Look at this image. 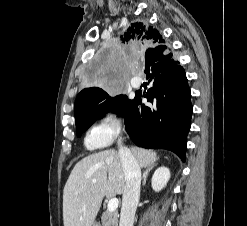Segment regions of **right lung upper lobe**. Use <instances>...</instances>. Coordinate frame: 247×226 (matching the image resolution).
Instances as JSON below:
<instances>
[{"label": "right lung upper lobe", "instance_id": "cb5924a9", "mask_svg": "<svg viewBox=\"0 0 247 226\" xmlns=\"http://www.w3.org/2000/svg\"><path fill=\"white\" fill-rule=\"evenodd\" d=\"M120 41L123 44H140L142 47H150L147 51L153 47L165 44V40L161 33L149 26L145 22L131 23L120 37ZM146 51V52H147ZM102 90L97 87H90L83 89L77 96L74 104L75 118L80 114V108L82 104L99 94Z\"/></svg>", "mask_w": 247, "mask_h": 226}]
</instances>
